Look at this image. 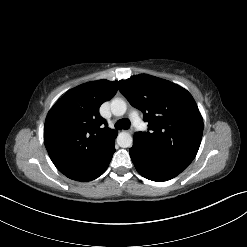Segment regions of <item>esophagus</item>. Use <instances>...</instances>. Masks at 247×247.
Returning <instances> with one entry per match:
<instances>
[{
    "label": "esophagus",
    "instance_id": "esophagus-1",
    "mask_svg": "<svg viewBox=\"0 0 247 247\" xmlns=\"http://www.w3.org/2000/svg\"><path fill=\"white\" fill-rule=\"evenodd\" d=\"M126 131L131 133L132 132V129H129V130H126Z\"/></svg>",
    "mask_w": 247,
    "mask_h": 247
}]
</instances>
